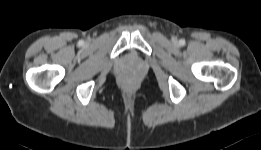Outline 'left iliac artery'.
<instances>
[{
    "mask_svg": "<svg viewBox=\"0 0 261 150\" xmlns=\"http://www.w3.org/2000/svg\"><path fill=\"white\" fill-rule=\"evenodd\" d=\"M180 44H181V45H184V44H185V40L181 39V40H180Z\"/></svg>",
    "mask_w": 261,
    "mask_h": 150,
    "instance_id": "44dca946",
    "label": "left iliac artery"
}]
</instances>
